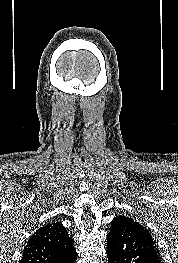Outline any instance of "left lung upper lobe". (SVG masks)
Returning a JSON list of instances; mask_svg holds the SVG:
<instances>
[{
    "label": "left lung upper lobe",
    "instance_id": "1",
    "mask_svg": "<svg viewBox=\"0 0 178 263\" xmlns=\"http://www.w3.org/2000/svg\"><path fill=\"white\" fill-rule=\"evenodd\" d=\"M128 218V217H127ZM128 219H130V220H132V221H134L133 219H131V218H128ZM136 222V221H135Z\"/></svg>",
    "mask_w": 178,
    "mask_h": 263
}]
</instances>
